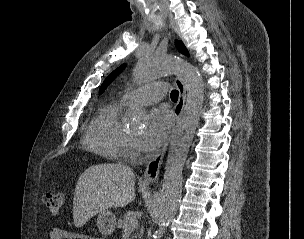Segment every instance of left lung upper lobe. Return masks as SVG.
<instances>
[{
    "label": "left lung upper lobe",
    "instance_id": "1",
    "mask_svg": "<svg viewBox=\"0 0 304 239\" xmlns=\"http://www.w3.org/2000/svg\"><path fill=\"white\" fill-rule=\"evenodd\" d=\"M176 46L178 48V50L180 52H182L185 55H188L187 50L185 49V47L183 46V44L180 41H176ZM126 65L123 64L121 65L119 68H117L116 70H114L104 81V83L102 84L101 88H100V93H102L104 91V89L114 80V78L121 72V70L124 69Z\"/></svg>",
    "mask_w": 304,
    "mask_h": 239
}]
</instances>
